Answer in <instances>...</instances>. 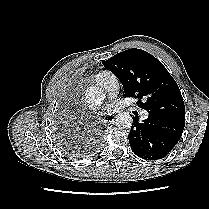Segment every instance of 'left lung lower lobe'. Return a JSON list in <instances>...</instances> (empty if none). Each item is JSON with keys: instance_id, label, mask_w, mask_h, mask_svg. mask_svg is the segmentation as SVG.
I'll return each instance as SVG.
<instances>
[{"instance_id": "obj_1", "label": "left lung lower lobe", "mask_w": 209, "mask_h": 209, "mask_svg": "<svg viewBox=\"0 0 209 209\" xmlns=\"http://www.w3.org/2000/svg\"><path fill=\"white\" fill-rule=\"evenodd\" d=\"M185 121L174 116L151 115L143 123L133 117L128 135L132 151L145 160L164 158L179 141Z\"/></svg>"}]
</instances>
